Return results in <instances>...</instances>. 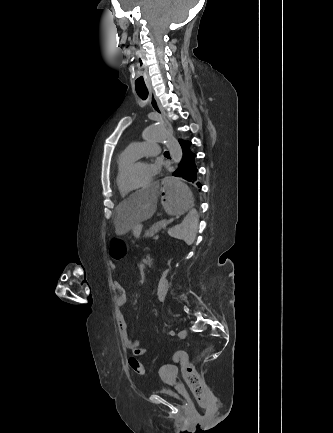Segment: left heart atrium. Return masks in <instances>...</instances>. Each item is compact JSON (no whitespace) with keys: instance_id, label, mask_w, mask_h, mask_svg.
Masks as SVG:
<instances>
[{"instance_id":"left-heart-atrium-1","label":"left heart atrium","mask_w":333,"mask_h":433,"mask_svg":"<svg viewBox=\"0 0 333 433\" xmlns=\"http://www.w3.org/2000/svg\"><path fill=\"white\" fill-rule=\"evenodd\" d=\"M159 170V165L157 163H151L149 165V179L153 178Z\"/></svg>"}]
</instances>
